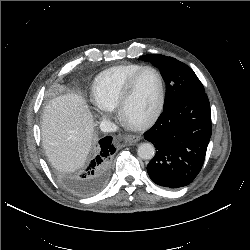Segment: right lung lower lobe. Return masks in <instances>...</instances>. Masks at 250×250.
<instances>
[{"label": "right lung lower lobe", "mask_w": 250, "mask_h": 250, "mask_svg": "<svg viewBox=\"0 0 250 250\" xmlns=\"http://www.w3.org/2000/svg\"><path fill=\"white\" fill-rule=\"evenodd\" d=\"M116 151L112 137L107 136L99 141L96 157L75 183V189L82 196H91L100 192L109 176V162Z\"/></svg>", "instance_id": "right-lung-lower-lobe-1"}]
</instances>
